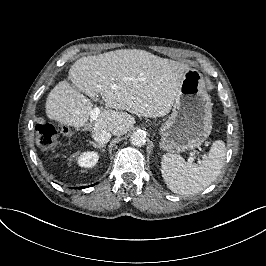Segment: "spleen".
I'll return each instance as SVG.
<instances>
[{"instance_id":"1","label":"spleen","mask_w":266,"mask_h":266,"mask_svg":"<svg viewBox=\"0 0 266 266\" xmlns=\"http://www.w3.org/2000/svg\"><path fill=\"white\" fill-rule=\"evenodd\" d=\"M226 156L225 143L215 141L200 164L188 163L178 154L163 155L161 172L167 187L181 195H195L221 174Z\"/></svg>"}]
</instances>
